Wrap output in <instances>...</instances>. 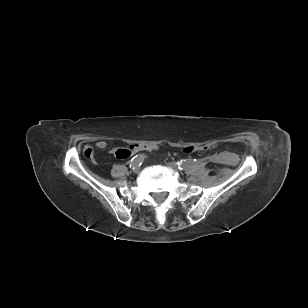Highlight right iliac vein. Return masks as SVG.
<instances>
[{
    "mask_svg": "<svg viewBox=\"0 0 308 308\" xmlns=\"http://www.w3.org/2000/svg\"><path fill=\"white\" fill-rule=\"evenodd\" d=\"M133 171L135 173H139L140 172V168L138 166H136V167L133 168Z\"/></svg>",
    "mask_w": 308,
    "mask_h": 308,
    "instance_id": "1",
    "label": "right iliac vein"
}]
</instances>
